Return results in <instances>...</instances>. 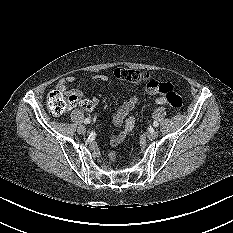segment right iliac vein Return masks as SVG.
Listing matches in <instances>:
<instances>
[{
    "mask_svg": "<svg viewBox=\"0 0 233 233\" xmlns=\"http://www.w3.org/2000/svg\"><path fill=\"white\" fill-rule=\"evenodd\" d=\"M79 134H85L86 133V127L84 125H80L78 127Z\"/></svg>",
    "mask_w": 233,
    "mask_h": 233,
    "instance_id": "right-iliac-vein-1",
    "label": "right iliac vein"
}]
</instances>
